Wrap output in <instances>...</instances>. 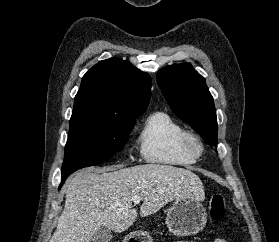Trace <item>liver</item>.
Segmentation results:
<instances>
[{"label": "liver", "instance_id": "1", "mask_svg": "<svg viewBox=\"0 0 279 242\" xmlns=\"http://www.w3.org/2000/svg\"><path fill=\"white\" fill-rule=\"evenodd\" d=\"M65 193V207L50 242H90L102 226L124 232L137 219L134 196L143 200L142 217L178 198H205L203 184L192 171L159 164L82 170L66 181Z\"/></svg>", "mask_w": 279, "mask_h": 242}]
</instances>
